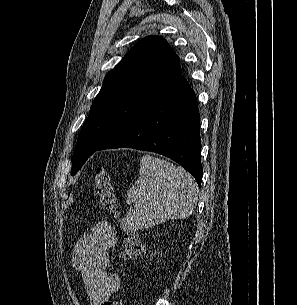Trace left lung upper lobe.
Wrapping results in <instances>:
<instances>
[{"label":"left lung upper lobe","instance_id":"obj_1","mask_svg":"<svg viewBox=\"0 0 297 305\" xmlns=\"http://www.w3.org/2000/svg\"><path fill=\"white\" fill-rule=\"evenodd\" d=\"M179 57L160 36L137 42L120 63L109 71L94 99L71 158V175L106 140L129 105L150 85L181 76Z\"/></svg>","mask_w":297,"mask_h":305}]
</instances>
